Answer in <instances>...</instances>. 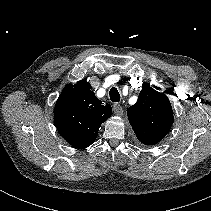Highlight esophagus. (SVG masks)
<instances>
[{
    "mask_svg": "<svg viewBox=\"0 0 211 211\" xmlns=\"http://www.w3.org/2000/svg\"><path fill=\"white\" fill-rule=\"evenodd\" d=\"M113 111L116 115H119V116L123 114V108L120 104H114Z\"/></svg>",
    "mask_w": 211,
    "mask_h": 211,
    "instance_id": "1",
    "label": "esophagus"
}]
</instances>
